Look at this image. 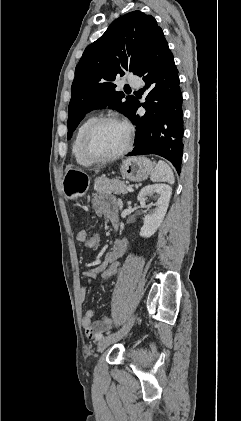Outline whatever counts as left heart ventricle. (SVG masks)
<instances>
[{"instance_id":"b2bd125f","label":"left heart ventricle","mask_w":241,"mask_h":421,"mask_svg":"<svg viewBox=\"0 0 241 421\" xmlns=\"http://www.w3.org/2000/svg\"><path fill=\"white\" fill-rule=\"evenodd\" d=\"M127 139L125 126L119 123H105L93 134L91 139L92 151L100 156L114 154L121 150Z\"/></svg>"}]
</instances>
